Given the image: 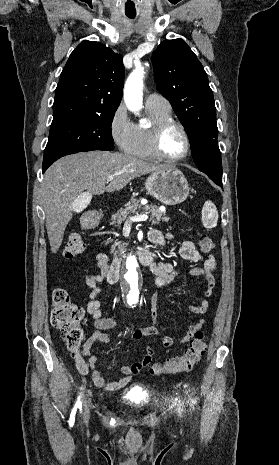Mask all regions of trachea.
I'll return each instance as SVG.
<instances>
[{
  "label": "trachea",
  "instance_id": "obj_1",
  "mask_svg": "<svg viewBox=\"0 0 279 465\" xmlns=\"http://www.w3.org/2000/svg\"><path fill=\"white\" fill-rule=\"evenodd\" d=\"M129 18L133 19L135 17V14H126Z\"/></svg>",
  "mask_w": 279,
  "mask_h": 465
}]
</instances>
